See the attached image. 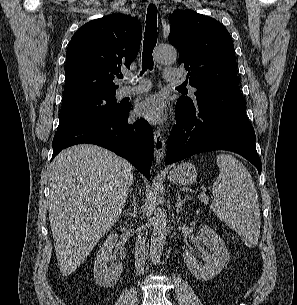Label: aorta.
Segmentation results:
<instances>
[{"instance_id":"762f6f07","label":"aorta","mask_w":297,"mask_h":305,"mask_svg":"<svg viewBox=\"0 0 297 305\" xmlns=\"http://www.w3.org/2000/svg\"><path fill=\"white\" fill-rule=\"evenodd\" d=\"M154 59L160 64L173 63L177 59V51L172 46L160 45L154 51ZM153 222L150 258L153 263H159L167 236V215L165 210L157 207L154 211Z\"/></svg>"}]
</instances>
